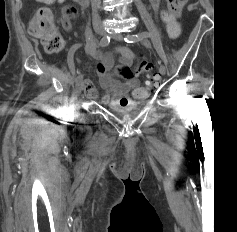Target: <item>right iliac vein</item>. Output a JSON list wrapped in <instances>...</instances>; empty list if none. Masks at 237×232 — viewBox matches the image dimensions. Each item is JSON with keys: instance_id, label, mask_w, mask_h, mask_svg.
Returning <instances> with one entry per match:
<instances>
[{"instance_id": "1", "label": "right iliac vein", "mask_w": 237, "mask_h": 232, "mask_svg": "<svg viewBox=\"0 0 237 232\" xmlns=\"http://www.w3.org/2000/svg\"><path fill=\"white\" fill-rule=\"evenodd\" d=\"M95 31L98 35H103L105 33L104 27L103 26H97L95 28ZM83 90V76L78 75L76 78V91L77 94L79 95Z\"/></svg>"}]
</instances>
